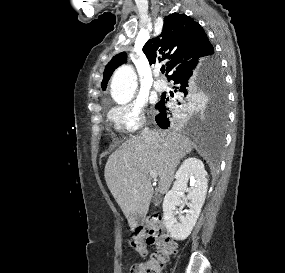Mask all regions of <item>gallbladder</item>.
<instances>
[{
	"label": "gallbladder",
	"instance_id": "1",
	"mask_svg": "<svg viewBox=\"0 0 285 273\" xmlns=\"http://www.w3.org/2000/svg\"><path fill=\"white\" fill-rule=\"evenodd\" d=\"M160 199H161V196L160 194H158L157 192L155 193L154 197H153V202L155 205H158L160 203Z\"/></svg>",
	"mask_w": 285,
	"mask_h": 273
}]
</instances>
